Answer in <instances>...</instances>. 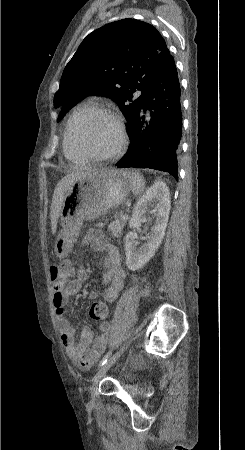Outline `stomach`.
I'll return each mask as SVG.
<instances>
[{"instance_id":"obj_1","label":"stomach","mask_w":245,"mask_h":450,"mask_svg":"<svg viewBox=\"0 0 245 450\" xmlns=\"http://www.w3.org/2000/svg\"><path fill=\"white\" fill-rule=\"evenodd\" d=\"M131 189L125 172L106 168L93 169L75 180L65 195L60 212L62 230L54 251L66 258L85 220H94L124 203Z\"/></svg>"}]
</instances>
